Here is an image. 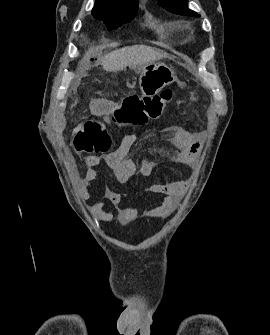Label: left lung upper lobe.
<instances>
[{"label":"left lung upper lobe","mask_w":270,"mask_h":335,"mask_svg":"<svg viewBox=\"0 0 270 335\" xmlns=\"http://www.w3.org/2000/svg\"><path fill=\"white\" fill-rule=\"evenodd\" d=\"M158 4L176 14L200 17L197 13L188 9V0H158Z\"/></svg>","instance_id":"1"}]
</instances>
